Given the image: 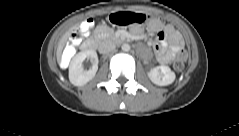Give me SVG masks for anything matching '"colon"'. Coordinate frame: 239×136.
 <instances>
[{
  "instance_id": "obj_1",
  "label": "colon",
  "mask_w": 239,
  "mask_h": 136,
  "mask_svg": "<svg viewBox=\"0 0 239 136\" xmlns=\"http://www.w3.org/2000/svg\"><path fill=\"white\" fill-rule=\"evenodd\" d=\"M92 23L90 20H87L83 27H82V30L83 31H87L90 27H91ZM65 52L66 53H69V54H72L74 52V49L72 48V46L69 44L66 48H65ZM185 53L183 51H181L176 59H175V62H174V68L176 71H181L184 67V60H185Z\"/></svg>"
}]
</instances>
